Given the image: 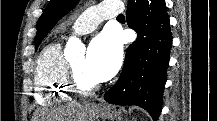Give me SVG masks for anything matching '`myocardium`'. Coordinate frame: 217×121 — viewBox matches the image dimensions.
<instances>
[{"instance_id": "1", "label": "myocardium", "mask_w": 217, "mask_h": 121, "mask_svg": "<svg viewBox=\"0 0 217 121\" xmlns=\"http://www.w3.org/2000/svg\"><path fill=\"white\" fill-rule=\"evenodd\" d=\"M66 83L70 92L79 96L91 95L99 88L97 82L93 84L84 83L79 78L71 63H67Z\"/></svg>"}]
</instances>
